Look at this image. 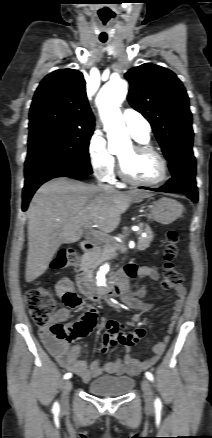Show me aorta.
<instances>
[{"mask_svg":"<svg viewBox=\"0 0 212 438\" xmlns=\"http://www.w3.org/2000/svg\"><path fill=\"white\" fill-rule=\"evenodd\" d=\"M127 82L121 78L110 80L99 91L97 105L104 128L108 135L109 150L115 148L118 141H127L128 132L124 124L119 106L127 94ZM109 267L103 266L94 277V284L100 289L107 286V273Z\"/></svg>","mask_w":212,"mask_h":438,"instance_id":"762f6f07","label":"aorta"}]
</instances>
